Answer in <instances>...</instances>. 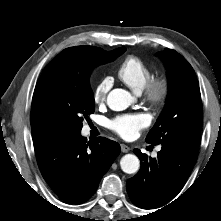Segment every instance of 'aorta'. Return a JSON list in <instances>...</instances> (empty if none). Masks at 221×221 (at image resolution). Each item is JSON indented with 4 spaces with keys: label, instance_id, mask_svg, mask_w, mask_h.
I'll return each mask as SVG.
<instances>
[{
    "label": "aorta",
    "instance_id": "762f6f07",
    "mask_svg": "<svg viewBox=\"0 0 221 221\" xmlns=\"http://www.w3.org/2000/svg\"><path fill=\"white\" fill-rule=\"evenodd\" d=\"M132 102L131 94L124 89H113L107 96V104L114 111H123L129 107ZM120 166L123 172L127 174L136 173L140 167V161L134 154H126L120 160Z\"/></svg>",
    "mask_w": 221,
    "mask_h": 221
}]
</instances>
